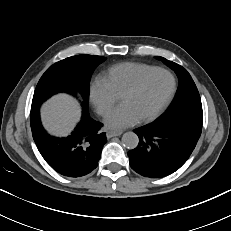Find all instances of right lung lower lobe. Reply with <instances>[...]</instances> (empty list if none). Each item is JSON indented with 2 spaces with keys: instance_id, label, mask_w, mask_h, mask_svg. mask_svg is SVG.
<instances>
[{
  "instance_id": "obj_1",
  "label": "right lung lower lobe",
  "mask_w": 231,
  "mask_h": 231,
  "mask_svg": "<svg viewBox=\"0 0 231 231\" xmlns=\"http://www.w3.org/2000/svg\"><path fill=\"white\" fill-rule=\"evenodd\" d=\"M30 124L33 139L45 161L58 173L67 177H81L94 170L106 143L101 123L83 110L82 120L66 138L50 136L40 122L39 108L31 109Z\"/></svg>"
}]
</instances>
